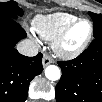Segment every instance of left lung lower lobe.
<instances>
[{
	"label": "left lung lower lobe",
	"mask_w": 102,
	"mask_h": 102,
	"mask_svg": "<svg viewBox=\"0 0 102 102\" xmlns=\"http://www.w3.org/2000/svg\"><path fill=\"white\" fill-rule=\"evenodd\" d=\"M62 76L57 102H102V37H96L77 58L59 61Z\"/></svg>",
	"instance_id": "obj_1"
}]
</instances>
